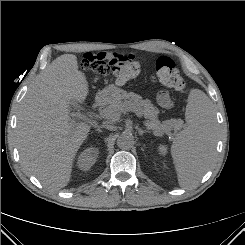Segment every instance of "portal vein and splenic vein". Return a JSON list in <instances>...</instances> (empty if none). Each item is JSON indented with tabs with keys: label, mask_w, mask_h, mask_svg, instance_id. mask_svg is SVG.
<instances>
[{
	"label": "portal vein and splenic vein",
	"mask_w": 245,
	"mask_h": 245,
	"mask_svg": "<svg viewBox=\"0 0 245 245\" xmlns=\"http://www.w3.org/2000/svg\"><path fill=\"white\" fill-rule=\"evenodd\" d=\"M128 111L134 112L138 118H141V113L137 108L131 107Z\"/></svg>",
	"instance_id": "18ae733b"
}]
</instances>
